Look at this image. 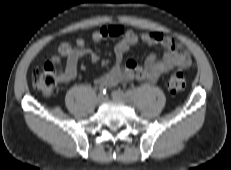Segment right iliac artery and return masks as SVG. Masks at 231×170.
Masks as SVG:
<instances>
[{
    "mask_svg": "<svg viewBox=\"0 0 231 170\" xmlns=\"http://www.w3.org/2000/svg\"><path fill=\"white\" fill-rule=\"evenodd\" d=\"M99 90H100V93L103 95H105L107 93V88L104 86H100Z\"/></svg>",
    "mask_w": 231,
    "mask_h": 170,
    "instance_id": "right-iliac-artery-1",
    "label": "right iliac artery"
}]
</instances>
